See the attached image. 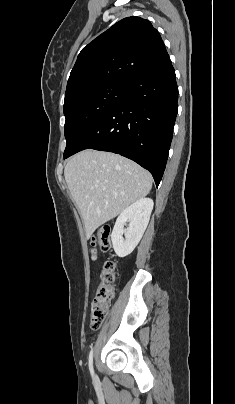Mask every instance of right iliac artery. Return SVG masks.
<instances>
[{"mask_svg": "<svg viewBox=\"0 0 235 404\" xmlns=\"http://www.w3.org/2000/svg\"><path fill=\"white\" fill-rule=\"evenodd\" d=\"M88 360H89V370H90V373H91L92 377H94V370H93V347H92V346H91V351H90V353H89V358H88Z\"/></svg>", "mask_w": 235, "mask_h": 404, "instance_id": "obj_1", "label": "right iliac artery"}]
</instances>
